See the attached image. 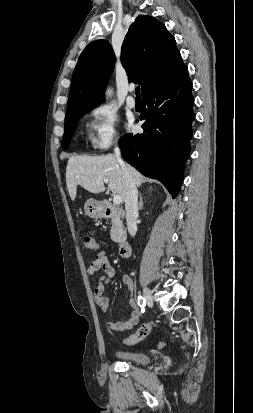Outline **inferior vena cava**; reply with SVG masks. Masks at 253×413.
I'll list each match as a JSON object with an SVG mask.
<instances>
[{"label":"inferior vena cava","instance_id":"602c4592","mask_svg":"<svg viewBox=\"0 0 253 413\" xmlns=\"http://www.w3.org/2000/svg\"><path fill=\"white\" fill-rule=\"evenodd\" d=\"M114 153L123 170L126 187H127L126 199H125V210H126V222H127L128 231L131 236H135L137 232L136 219L138 217V190L136 188V185L133 181V178L131 176V173L127 165L124 163V161L120 157L121 153H120V149L118 146L115 147Z\"/></svg>","mask_w":253,"mask_h":413}]
</instances>
